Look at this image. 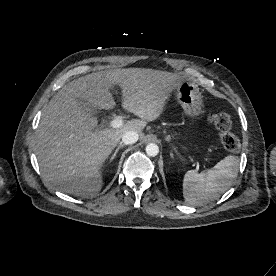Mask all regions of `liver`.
<instances>
[{"label": "liver", "instance_id": "6515ba94", "mask_svg": "<svg viewBox=\"0 0 276 276\" xmlns=\"http://www.w3.org/2000/svg\"><path fill=\"white\" fill-rule=\"evenodd\" d=\"M184 80L170 72L125 68L88 74L64 85L44 108L36 133L35 153L44 179L62 192L95 197L103 185V163L122 135L133 130L143 137L147 122L162 114ZM114 85L122 90L123 108L140 119L96 130L98 120L77 100L96 109H113Z\"/></svg>", "mask_w": 276, "mask_h": 276}]
</instances>
